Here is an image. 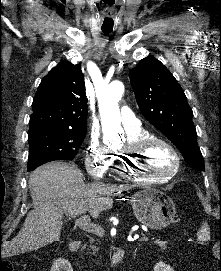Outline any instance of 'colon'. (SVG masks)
<instances>
[{
    "label": "colon",
    "mask_w": 221,
    "mask_h": 271,
    "mask_svg": "<svg viewBox=\"0 0 221 271\" xmlns=\"http://www.w3.org/2000/svg\"><path fill=\"white\" fill-rule=\"evenodd\" d=\"M0 271H13V267L10 265V263H3L0 264Z\"/></svg>",
    "instance_id": "5ec220e1"
}]
</instances>
